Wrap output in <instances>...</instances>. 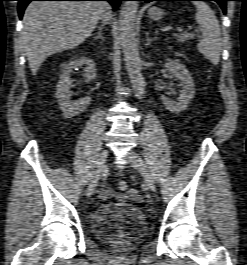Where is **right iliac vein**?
Wrapping results in <instances>:
<instances>
[{
    "label": "right iliac vein",
    "instance_id": "obj_1",
    "mask_svg": "<svg viewBox=\"0 0 247 265\" xmlns=\"http://www.w3.org/2000/svg\"><path fill=\"white\" fill-rule=\"evenodd\" d=\"M107 157H108V150L106 149L102 150L97 159L96 171H95L94 176L99 177L101 175L103 169L105 168ZM95 186L96 185L92 184V181H91L87 188L86 194L92 195L95 191Z\"/></svg>",
    "mask_w": 247,
    "mask_h": 265
}]
</instances>
